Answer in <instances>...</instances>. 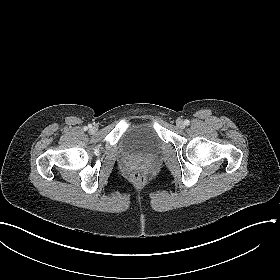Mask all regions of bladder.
<instances>
[{"mask_svg":"<svg viewBox=\"0 0 280 280\" xmlns=\"http://www.w3.org/2000/svg\"><path fill=\"white\" fill-rule=\"evenodd\" d=\"M122 146L128 151L149 154L158 149L159 138L152 125L142 123L125 133Z\"/></svg>","mask_w":280,"mask_h":280,"instance_id":"1","label":"bladder"}]
</instances>
